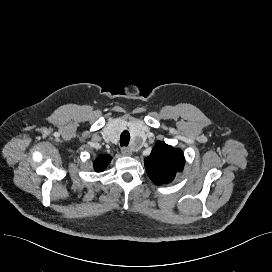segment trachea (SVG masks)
<instances>
[{"instance_id": "obj_1", "label": "trachea", "mask_w": 272, "mask_h": 272, "mask_svg": "<svg viewBox=\"0 0 272 272\" xmlns=\"http://www.w3.org/2000/svg\"><path fill=\"white\" fill-rule=\"evenodd\" d=\"M130 141V133L128 131H123L120 136V145L121 146H128Z\"/></svg>"}]
</instances>
